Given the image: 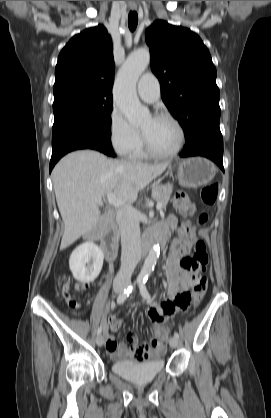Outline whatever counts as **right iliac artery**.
Here are the masks:
<instances>
[{
    "label": "right iliac artery",
    "mask_w": 271,
    "mask_h": 418,
    "mask_svg": "<svg viewBox=\"0 0 271 418\" xmlns=\"http://www.w3.org/2000/svg\"><path fill=\"white\" fill-rule=\"evenodd\" d=\"M132 289H133V285H129L127 288H125L120 294H119V296H118V298H117V304H122L126 299H127V297L129 296V294L132 292ZM101 332H102V326H100L99 328H98V330H97V334L99 335V334H101Z\"/></svg>",
    "instance_id": "1"
}]
</instances>
